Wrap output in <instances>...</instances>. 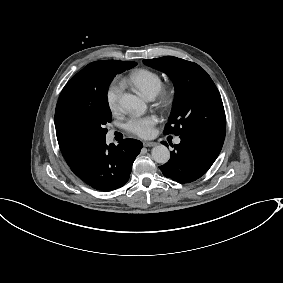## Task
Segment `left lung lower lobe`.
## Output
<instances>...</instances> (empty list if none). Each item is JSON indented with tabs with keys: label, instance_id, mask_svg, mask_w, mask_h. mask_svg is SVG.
I'll use <instances>...</instances> for the list:
<instances>
[{
	"label": "left lung lower lobe",
	"instance_id": "1",
	"mask_svg": "<svg viewBox=\"0 0 283 283\" xmlns=\"http://www.w3.org/2000/svg\"><path fill=\"white\" fill-rule=\"evenodd\" d=\"M181 142L174 145L170 160L159 166L163 175L179 183H189L204 175L218 157L223 142L180 136Z\"/></svg>",
	"mask_w": 283,
	"mask_h": 283
}]
</instances>
